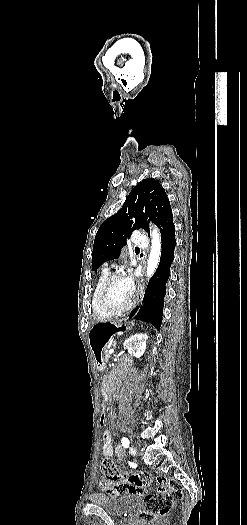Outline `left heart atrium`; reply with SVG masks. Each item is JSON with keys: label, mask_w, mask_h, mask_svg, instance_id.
<instances>
[{"label": "left heart atrium", "mask_w": 247, "mask_h": 525, "mask_svg": "<svg viewBox=\"0 0 247 525\" xmlns=\"http://www.w3.org/2000/svg\"><path fill=\"white\" fill-rule=\"evenodd\" d=\"M130 288H131V283H130V281H128L127 289L130 291Z\"/></svg>", "instance_id": "1"}]
</instances>
